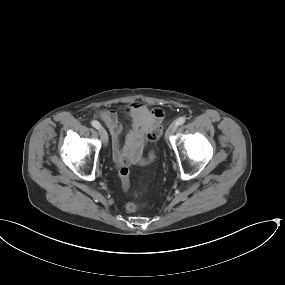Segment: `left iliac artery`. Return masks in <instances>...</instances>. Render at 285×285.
Here are the masks:
<instances>
[{"label":"left iliac artery","instance_id":"1","mask_svg":"<svg viewBox=\"0 0 285 285\" xmlns=\"http://www.w3.org/2000/svg\"><path fill=\"white\" fill-rule=\"evenodd\" d=\"M186 122V118L185 117H179L177 120H176V124L178 125V126H180V125H182V124H184Z\"/></svg>","mask_w":285,"mask_h":285}]
</instances>
